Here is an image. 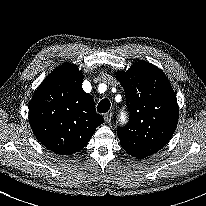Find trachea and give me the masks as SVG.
I'll return each instance as SVG.
<instances>
[{"label":"trachea","instance_id":"trachea-1","mask_svg":"<svg viewBox=\"0 0 206 206\" xmlns=\"http://www.w3.org/2000/svg\"><path fill=\"white\" fill-rule=\"evenodd\" d=\"M111 103L108 99H103L98 104V112L99 113H106L109 111Z\"/></svg>","mask_w":206,"mask_h":206}]
</instances>
